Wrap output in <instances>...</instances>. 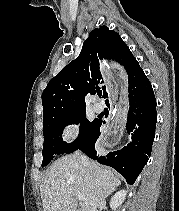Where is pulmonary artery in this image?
Returning a JSON list of instances; mask_svg holds the SVG:
<instances>
[{
    "mask_svg": "<svg viewBox=\"0 0 179 211\" xmlns=\"http://www.w3.org/2000/svg\"><path fill=\"white\" fill-rule=\"evenodd\" d=\"M93 109L95 112L100 113L103 111V105L98 101H94Z\"/></svg>",
    "mask_w": 179,
    "mask_h": 211,
    "instance_id": "obj_1",
    "label": "pulmonary artery"
}]
</instances>
